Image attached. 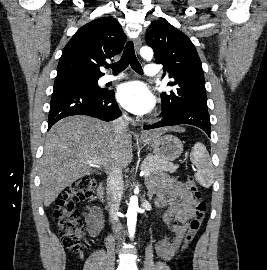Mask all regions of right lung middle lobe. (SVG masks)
<instances>
[{
    "label": "right lung middle lobe",
    "instance_id": "right-lung-middle-lobe-1",
    "mask_svg": "<svg viewBox=\"0 0 267 270\" xmlns=\"http://www.w3.org/2000/svg\"><path fill=\"white\" fill-rule=\"evenodd\" d=\"M99 77H89L76 74H67L58 76L55 79L54 89L60 88H77L84 90H94L103 92L105 89H101L98 86Z\"/></svg>",
    "mask_w": 267,
    "mask_h": 270
}]
</instances>
